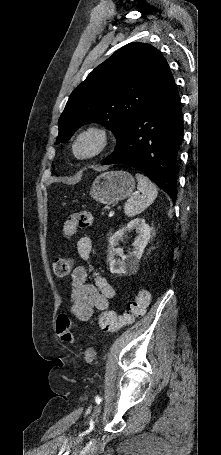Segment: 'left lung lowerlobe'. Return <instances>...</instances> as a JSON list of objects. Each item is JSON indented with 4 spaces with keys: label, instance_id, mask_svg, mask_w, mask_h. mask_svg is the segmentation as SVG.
<instances>
[{
    "label": "left lung lower lobe",
    "instance_id": "1",
    "mask_svg": "<svg viewBox=\"0 0 221 455\" xmlns=\"http://www.w3.org/2000/svg\"><path fill=\"white\" fill-rule=\"evenodd\" d=\"M183 139V117L173 76L140 112L102 163L125 164L147 175L175 202L176 164Z\"/></svg>",
    "mask_w": 221,
    "mask_h": 455
}]
</instances>
